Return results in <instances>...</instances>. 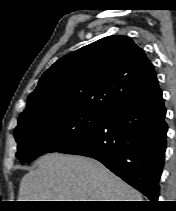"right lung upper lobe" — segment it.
I'll return each mask as SVG.
<instances>
[{
    "label": "right lung upper lobe",
    "instance_id": "1",
    "mask_svg": "<svg viewBox=\"0 0 176 211\" xmlns=\"http://www.w3.org/2000/svg\"><path fill=\"white\" fill-rule=\"evenodd\" d=\"M159 89L144 51L127 36H109L56 61L40 78L19 118L53 108L109 114Z\"/></svg>",
    "mask_w": 176,
    "mask_h": 211
}]
</instances>
